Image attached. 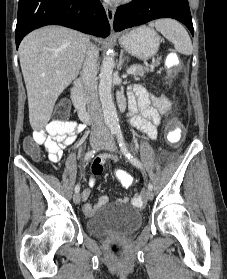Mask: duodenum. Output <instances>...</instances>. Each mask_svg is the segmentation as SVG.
I'll return each instance as SVG.
<instances>
[{
	"label": "duodenum",
	"instance_id": "duodenum-1",
	"mask_svg": "<svg viewBox=\"0 0 227 279\" xmlns=\"http://www.w3.org/2000/svg\"><path fill=\"white\" fill-rule=\"evenodd\" d=\"M71 97L82 122L85 124H90L92 121L91 110L88 106L83 84L81 82L77 81L72 84ZM122 110H124V107H122Z\"/></svg>",
	"mask_w": 227,
	"mask_h": 279
}]
</instances>
